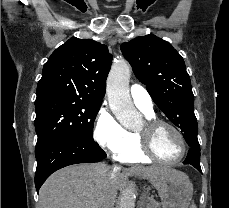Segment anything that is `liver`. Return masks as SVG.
<instances>
[{
	"mask_svg": "<svg viewBox=\"0 0 229 208\" xmlns=\"http://www.w3.org/2000/svg\"><path fill=\"white\" fill-rule=\"evenodd\" d=\"M129 176L181 178L185 174L168 166H133L114 172L106 164H75L46 180L40 188L39 208H113Z\"/></svg>",
	"mask_w": 229,
	"mask_h": 208,
	"instance_id": "1",
	"label": "liver"
}]
</instances>
